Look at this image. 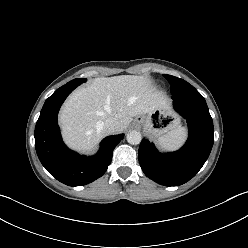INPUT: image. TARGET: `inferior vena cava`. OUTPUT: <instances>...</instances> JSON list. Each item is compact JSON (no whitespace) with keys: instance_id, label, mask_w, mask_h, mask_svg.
Returning <instances> with one entry per match:
<instances>
[{"instance_id":"inferior-vena-cava-1","label":"inferior vena cava","mask_w":248,"mask_h":248,"mask_svg":"<svg viewBox=\"0 0 248 248\" xmlns=\"http://www.w3.org/2000/svg\"><path fill=\"white\" fill-rule=\"evenodd\" d=\"M118 127L119 122L113 117L106 119L103 123V129L107 134L116 133L118 131Z\"/></svg>"}]
</instances>
